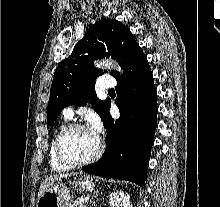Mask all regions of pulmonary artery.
Returning a JSON list of instances; mask_svg holds the SVG:
<instances>
[{"label": "pulmonary artery", "mask_w": 220, "mask_h": 207, "mask_svg": "<svg viewBox=\"0 0 220 207\" xmlns=\"http://www.w3.org/2000/svg\"><path fill=\"white\" fill-rule=\"evenodd\" d=\"M97 86L99 90H109L116 86V81L111 76H102L99 78ZM63 115L65 118H72L74 115V108L72 106L66 107L63 110Z\"/></svg>", "instance_id": "e3ab8cb5"}]
</instances>
